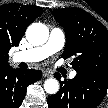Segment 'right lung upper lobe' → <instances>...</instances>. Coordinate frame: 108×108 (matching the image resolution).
Listing matches in <instances>:
<instances>
[{"mask_svg":"<svg viewBox=\"0 0 108 108\" xmlns=\"http://www.w3.org/2000/svg\"><path fill=\"white\" fill-rule=\"evenodd\" d=\"M38 6L17 3L0 6V67L9 66L8 52L18 46L27 27L42 13Z\"/></svg>","mask_w":108,"mask_h":108,"instance_id":"right-lung-upper-lobe-1","label":"right lung upper lobe"}]
</instances>
